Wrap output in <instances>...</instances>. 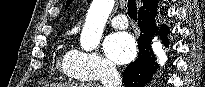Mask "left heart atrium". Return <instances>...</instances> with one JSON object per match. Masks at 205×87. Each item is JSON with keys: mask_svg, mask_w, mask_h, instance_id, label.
<instances>
[{"mask_svg": "<svg viewBox=\"0 0 205 87\" xmlns=\"http://www.w3.org/2000/svg\"><path fill=\"white\" fill-rule=\"evenodd\" d=\"M104 52L112 62L125 64L135 57L136 44L129 33L119 32L107 37Z\"/></svg>", "mask_w": 205, "mask_h": 87, "instance_id": "1", "label": "left heart atrium"}]
</instances>
